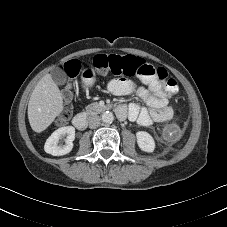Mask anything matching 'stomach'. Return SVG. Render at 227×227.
<instances>
[{"label": "stomach", "mask_w": 227, "mask_h": 227, "mask_svg": "<svg viewBox=\"0 0 227 227\" xmlns=\"http://www.w3.org/2000/svg\"><path fill=\"white\" fill-rule=\"evenodd\" d=\"M95 71L91 68L85 69L82 73L83 82L92 85L95 82Z\"/></svg>", "instance_id": "0dacf381"}]
</instances>
